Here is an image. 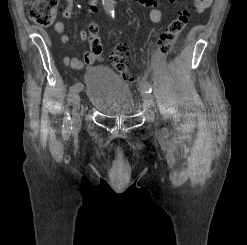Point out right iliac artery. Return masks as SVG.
<instances>
[{"instance_id":"right-iliac-artery-1","label":"right iliac artery","mask_w":247,"mask_h":245,"mask_svg":"<svg viewBox=\"0 0 247 245\" xmlns=\"http://www.w3.org/2000/svg\"><path fill=\"white\" fill-rule=\"evenodd\" d=\"M83 85L82 83H76L74 84L68 93V98H67V103L68 106L72 103L74 97L82 90ZM72 122H71V117L69 113V109L67 108L65 111V117L63 121V128L65 131H69L71 128Z\"/></svg>"}]
</instances>
